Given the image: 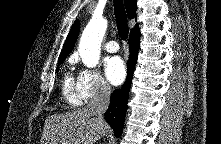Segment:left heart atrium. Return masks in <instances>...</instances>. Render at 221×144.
<instances>
[{
	"label": "left heart atrium",
	"instance_id": "obj_1",
	"mask_svg": "<svg viewBox=\"0 0 221 144\" xmlns=\"http://www.w3.org/2000/svg\"><path fill=\"white\" fill-rule=\"evenodd\" d=\"M105 74L111 84H121L126 74L123 60L118 56L107 58L105 61Z\"/></svg>",
	"mask_w": 221,
	"mask_h": 144
}]
</instances>
